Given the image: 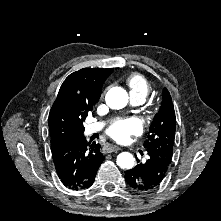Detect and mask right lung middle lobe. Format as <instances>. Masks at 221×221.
<instances>
[{
    "instance_id": "dd1d6c3e",
    "label": "right lung middle lobe",
    "mask_w": 221,
    "mask_h": 221,
    "mask_svg": "<svg viewBox=\"0 0 221 221\" xmlns=\"http://www.w3.org/2000/svg\"><path fill=\"white\" fill-rule=\"evenodd\" d=\"M88 115V113L86 114V116ZM82 131L84 132V127L82 128Z\"/></svg>"
}]
</instances>
